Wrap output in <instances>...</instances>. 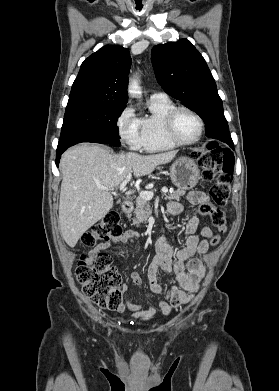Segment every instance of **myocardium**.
Returning a JSON list of instances; mask_svg holds the SVG:
<instances>
[{"label":"myocardium","mask_w":279,"mask_h":391,"mask_svg":"<svg viewBox=\"0 0 279 391\" xmlns=\"http://www.w3.org/2000/svg\"><path fill=\"white\" fill-rule=\"evenodd\" d=\"M180 111L189 112L190 114H192L196 118V120L199 123V133L194 140L183 141L176 135L175 119H176L177 114ZM164 127H165V132H166L167 138L172 143L176 144L177 146H189V145H193V144L197 143L201 139V137L204 133L205 125H204V121H203L202 117L194 109H192L191 107L185 106V105H178V106L172 107L167 112V114L164 118Z\"/></svg>","instance_id":"myocardium-1"}]
</instances>
